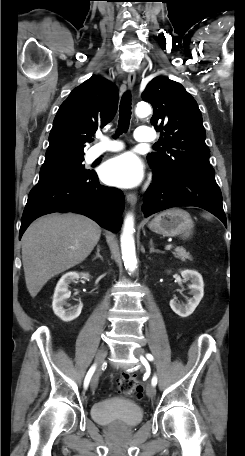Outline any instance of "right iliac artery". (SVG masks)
I'll return each instance as SVG.
<instances>
[{"label": "right iliac artery", "mask_w": 245, "mask_h": 456, "mask_svg": "<svg viewBox=\"0 0 245 456\" xmlns=\"http://www.w3.org/2000/svg\"><path fill=\"white\" fill-rule=\"evenodd\" d=\"M95 369H96V365L95 364L89 369V371H88V373H87V375H86V377L84 379V388L85 389H87Z\"/></svg>", "instance_id": "obj_1"}]
</instances>
